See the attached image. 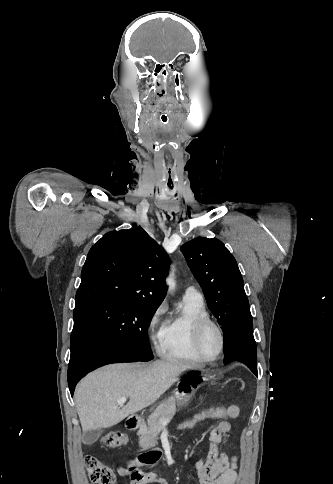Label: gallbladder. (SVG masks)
<instances>
[{
    "mask_svg": "<svg viewBox=\"0 0 333 484\" xmlns=\"http://www.w3.org/2000/svg\"><path fill=\"white\" fill-rule=\"evenodd\" d=\"M102 430L101 429H94L84 433L82 441L86 444L94 443L100 436Z\"/></svg>",
    "mask_w": 333,
    "mask_h": 484,
    "instance_id": "obj_1",
    "label": "gallbladder"
}]
</instances>
